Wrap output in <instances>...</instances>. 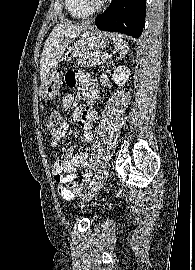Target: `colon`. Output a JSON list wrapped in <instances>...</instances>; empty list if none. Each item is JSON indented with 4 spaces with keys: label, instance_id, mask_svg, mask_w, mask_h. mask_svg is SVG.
I'll return each mask as SVG.
<instances>
[{
    "label": "colon",
    "instance_id": "1",
    "mask_svg": "<svg viewBox=\"0 0 195 270\" xmlns=\"http://www.w3.org/2000/svg\"><path fill=\"white\" fill-rule=\"evenodd\" d=\"M61 121V114L58 111L52 112L46 119V127L50 130L56 127ZM66 188L69 191H74L77 194L83 192L84 187L81 183H68Z\"/></svg>",
    "mask_w": 195,
    "mask_h": 270
}]
</instances>
